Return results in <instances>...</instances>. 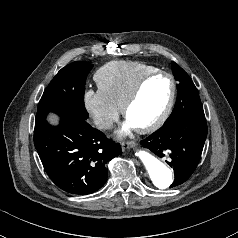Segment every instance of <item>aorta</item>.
<instances>
[{
    "mask_svg": "<svg viewBox=\"0 0 238 238\" xmlns=\"http://www.w3.org/2000/svg\"><path fill=\"white\" fill-rule=\"evenodd\" d=\"M135 156L145 167L154 186L159 189H167L173 181L171 170L157 157L146 150L138 149Z\"/></svg>",
    "mask_w": 238,
    "mask_h": 238,
    "instance_id": "762f6f07",
    "label": "aorta"
}]
</instances>
